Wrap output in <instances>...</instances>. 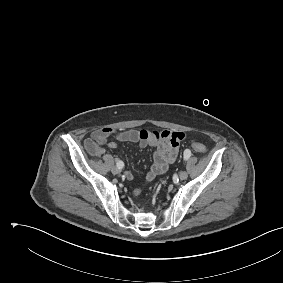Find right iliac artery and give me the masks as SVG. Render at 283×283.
I'll return each mask as SVG.
<instances>
[{
    "label": "right iliac artery",
    "instance_id": "right-iliac-artery-1",
    "mask_svg": "<svg viewBox=\"0 0 283 283\" xmlns=\"http://www.w3.org/2000/svg\"><path fill=\"white\" fill-rule=\"evenodd\" d=\"M116 166H117L119 169H122V168L124 167V163L119 160V161H117Z\"/></svg>",
    "mask_w": 283,
    "mask_h": 283
}]
</instances>
